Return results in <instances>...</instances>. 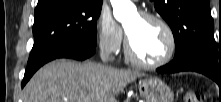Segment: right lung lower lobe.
Listing matches in <instances>:
<instances>
[{
  "label": "right lung lower lobe",
  "instance_id": "right-lung-lower-lobe-1",
  "mask_svg": "<svg viewBox=\"0 0 221 102\" xmlns=\"http://www.w3.org/2000/svg\"><path fill=\"white\" fill-rule=\"evenodd\" d=\"M96 51V46H91L81 42H63L57 44L32 60H28L25 75L22 81V87L28 82L31 76L45 63L57 58H72L85 60L92 56Z\"/></svg>",
  "mask_w": 221,
  "mask_h": 102
}]
</instances>
